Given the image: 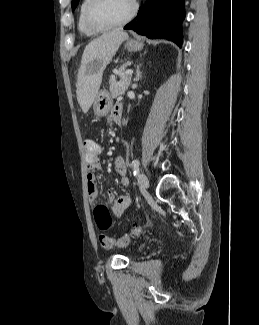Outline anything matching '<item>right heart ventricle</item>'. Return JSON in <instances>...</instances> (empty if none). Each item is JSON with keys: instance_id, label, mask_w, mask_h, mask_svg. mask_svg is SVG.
<instances>
[{"instance_id": "1", "label": "right heart ventricle", "mask_w": 259, "mask_h": 325, "mask_svg": "<svg viewBox=\"0 0 259 325\" xmlns=\"http://www.w3.org/2000/svg\"><path fill=\"white\" fill-rule=\"evenodd\" d=\"M89 0H81L78 8L77 26L79 31L86 36H95L101 31L93 30L85 22L84 12Z\"/></svg>"}]
</instances>
